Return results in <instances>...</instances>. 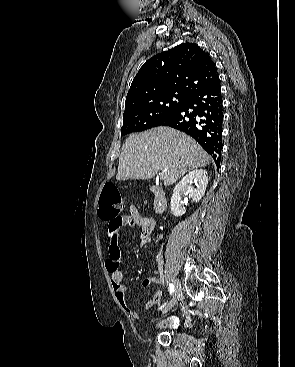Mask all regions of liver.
<instances>
[{"instance_id":"obj_1","label":"liver","mask_w":295,"mask_h":367,"mask_svg":"<svg viewBox=\"0 0 295 367\" xmlns=\"http://www.w3.org/2000/svg\"><path fill=\"white\" fill-rule=\"evenodd\" d=\"M210 156L190 136L169 127L130 135L119 157L116 179H150L166 170L164 185H172L186 172L205 167Z\"/></svg>"}]
</instances>
